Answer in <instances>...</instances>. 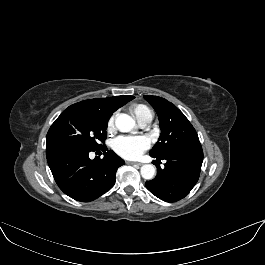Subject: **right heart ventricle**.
<instances>
[{
  "instance_id": "right-heart-ventricle-1",
  "label": "right heart ventricle",
  "mask_w": 265,
  "mask_h": 265,
  "mask_svg": "<svg viewBox=\"0 0 265 265\" xmlns=\"http://www.w3.org/2000/svg\"><path fill=\"white\" fill-rule=\"evenodd\" d=\"M131 113L133 116L138 120L141 121H150L153 118L151 110L144 104H134L130 108Z\"/></svg>"
}]
</instances>
